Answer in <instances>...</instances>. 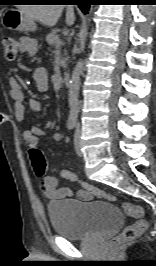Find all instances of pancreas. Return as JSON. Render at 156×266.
Masks as SVG:
<instances>
[{
	"label": "pancreas",
	"instance_id": "cf45deb5",
	"mask_svg": "<svg viewBox=\"0 0 156 266\" xmlns=\"http://www.w3.org/2000/svg\"><path fill=\"white\" fill-rule=\"evenodd\" d=\"M46 41L49 45L53 46L56 50L60 49L62 46L63 42L61 41L60 37L56 33H50L46 37ZM61 64L65 66V61L62 60Z\"/></svg>",
	"mask_w": 156,
	"mask_h": 266
}]
</instances>
